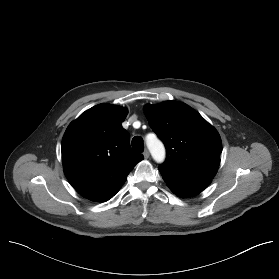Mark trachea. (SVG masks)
<instances>
[{
  "mask_svg": "<svg viewBox=\"0 0 279 279\" xmlns=\"http://www.w3.org/2000/svg\"><path fill=\"white\" fill-rule=\"evenodd\" d=\"M132 147H133L134 150H136L138 152H143L144 151L143 140L140 136H135L132 139Z\"/></svg>",
  "mask_w": 279,
  "mask_h": 279,
  "instance_id": "1",
  "label": "trachea"
}]
</instances>
